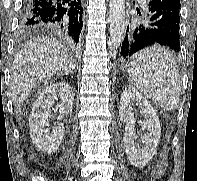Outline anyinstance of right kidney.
<instances>
[{
    "label": "right kidney",
    "instance_id": "ca27d5eb",
    "mask_svg": "<svg viewBox=\"0 0 197 181\" xmlns=\"http://www.w3.org/2000/svg\"><path fill=\"white\" fill-rule=\"evenodd\" d=\"M58 100L60 103L54 104ZM73 100V89L65 81L50 84L41 92L29 117L30 137L38 148L49 154L57 151L65 130L63 123L57 122L49 131L51 108L54 106V111L60 113L58 120H61L72 112Z\"/></svg>",
    "mask_w": 197,
    "mask_h": 181
}]
</instances>
